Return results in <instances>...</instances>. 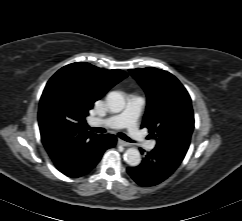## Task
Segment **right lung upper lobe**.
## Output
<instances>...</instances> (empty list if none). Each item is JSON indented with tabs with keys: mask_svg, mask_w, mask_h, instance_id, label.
<instances>
[{
	"mask_svg": "<svg viewBox=\"0 0 242 221\" xmlns=\"http://www.w3.org/2000/svg\"><path fill=\"white\" fill-rule=\"evenodd\" d=\"M126 77L119 69L104 70L77 62L50 78L40 99L38 121L52 160L68 156L78 142L96 135L85 129V117L95 101Z\"/></svg>",
	"mask_w": 242,
	"mask_h": 221,
	"instance_id": "cb5924a9",
	"label": "right lung upper lobe"
}]
</instances>
